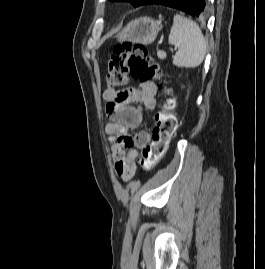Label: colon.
I'll list each match as a JSON object with an SVG mask.
<instances>
[{"label": "colon", "instance_id": "obj_1", "mask_svg": "<svg viewBox=\"0 0 265 269\" xmlns=\"http://www.w3.org/2000/svg\"><path fill=\"white\" fill-rule=\"evenodd\" d=\"M129 74L141 81H162L160 65L148 53L143 44L127 41L116 45L108 60L106 83L108 88L118 89L128 81ZM162 100L155 113V124L150 143L143 149L139 164L144 169L153 167L166 153L177 128L173 114L176 102L170 90L161 84Z\"/></svg>", "mask_w": 265, "mask_h": 269}]
</instances>
